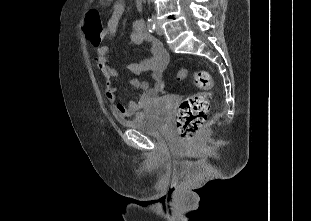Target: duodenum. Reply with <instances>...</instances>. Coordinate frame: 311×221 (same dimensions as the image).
Returning <instances> with one entry per match:
<instances>
[{
    "label": "duodenum",
    "mask_w": 311,
    "mask_h": 221,
    "mask_svg": "<svg viewBox=\"0 0 311 221\" xmlns=\"http://www.w3.org/2000/svg\"><path fill=\"white\" fill-rule=\"evenodd\" d=\"M135 2H136V6H137L138 9H143L144 0H136ZM141 24L145 25V22L141 21Z\"/></svg>",
    "instance_id": "obj_1"
}]
</instances>
